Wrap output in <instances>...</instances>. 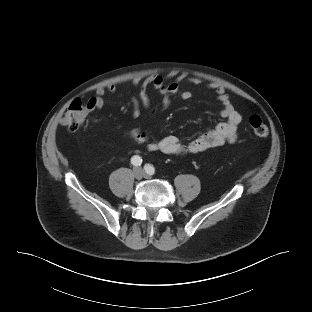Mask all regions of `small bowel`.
Here are the masks:
<instances>
[{
  "instance_id": "obj_1",
  "label": "small bowel",
  "mask_w": 312,
  "mask_h": 312,
  "mask_svg": "<svg viewBox=\"0 0 312 312\" xmlns=\"http://www.w3.org/2000/svg\"><path fill=\"white\" fill-rule=\"evenodd\" d=\"M188 81L193 84L200 83L198 78H188L186 73L177 75L174 80L167 81L161 76H151L147 78H136L134 84L138 86V96L132 98L134 116L140 115V104H142L151 115L156 111V106H152L148 95V88L152 87L163 96L162 106L166 107L170 103L172 96H178L183 100L192 98V92L181 88L180 83ZM207 89L212 91L221 104L220 115L224 120L218 123L212 130L197 136L189 142H184L176 136H166L153 141L149 133L141 128H135L128 132L135 143L145 145L150 152H162L173 155H189L201 152L208 148L234 143L238 138V127L241 122V115L232 105L229 95L225 89L217 84H208ZM116 86L109 84L106 87H99L96 95L88 100L87 107L90 111L98 110L104 106V96L107 92L114 93Z\"/></svg>"
}]
</instances>
